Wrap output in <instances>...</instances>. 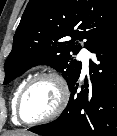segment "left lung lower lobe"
Here are the masks:
<instances>
[{"label":"left lung lower lobe","mask_w":117,"mask_h":136,"mask_svg":"<svg viewBox=\"0 0 117 136\" xmlns=\"http://www.w3.org/2000/svg\"><path fill=\"white\" fill-rule=\"evenodd\" d=\"M91 88L87 78L77 93L78 78L69 86L66 109L48 124L29 128L44 136H117V21L89 50Z\"/></svg>","instance_id":"0a47b994"}]
</instances>
